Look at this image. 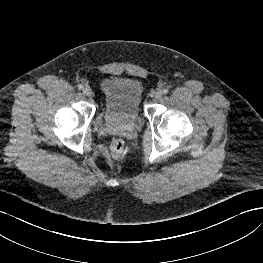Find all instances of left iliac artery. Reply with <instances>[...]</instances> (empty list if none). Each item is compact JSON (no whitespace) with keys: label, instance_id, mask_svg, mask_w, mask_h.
<instances>
[{"label":"left iliac artery","instance_id":"44dca946","mask_svg":"<svg viewBox=\"0 0 263 263\" xmlns=\"http://www.w3.org/2000/svg\"><path fill=\"white\" fill-rule=\"evenodd\" d=\"M162 92H163V94H167L168 93V89L165 88V89L162 90Z\"/></svg>","mask_w":263,"mask_h":263}]
</instances>
